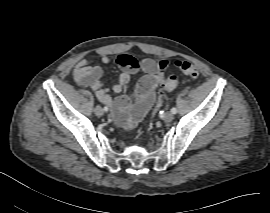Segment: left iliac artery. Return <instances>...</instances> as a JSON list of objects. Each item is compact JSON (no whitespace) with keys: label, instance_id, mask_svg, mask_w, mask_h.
<instances>
[{"label":"left iliac artery","instance_id":"44dca946","mask_svg":"<svg viewBox=\"0 0 270 213\" xmlns=\"http://www.w3.org/2000/svg\"><path fill=\"white\" fill-rule=\"evenodd\" d=\"M171 112H172L173 114H176V113H177V109H176L175 107H173V108L171 109Z\"/></svg>","mask_w":270,"mask_h":213}]
</instances>
